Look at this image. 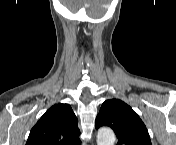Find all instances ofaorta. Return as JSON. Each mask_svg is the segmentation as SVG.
<instances>
[{
	"label": "aorta",
	"mask_w": 176,
	"mask_h": 145,
	"mask_svg": "<svg viewBox=\"0 0 176 145\" xmlns=\"http://www.w3.org/2000/svg\"><path fill=\"white\" fill-rule=\"evenodd\" d=\"M116 140L114 132L109 128H102L97 133L98 145H114Z\"/></svg>",
	"instance_id": "obj_1"
}]
</instances>
